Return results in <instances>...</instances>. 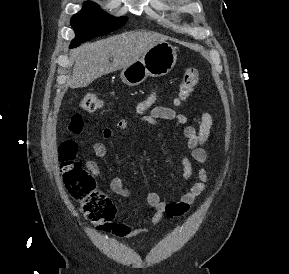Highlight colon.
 I'll return each mask as SVG.
<instances>
[{
    "mask_svg": "<svg viewBox=\"0 0 289 274\" xmlns=\"http://www.w3.org/2000/svg\"><path fill=\"white\" fill-rule=\"evenodd\" d=\"M199 81V72L195 67H187L179 84L177 101L189 98ZM84 111L94 113L103 107V100L97 93H87L80 102ZM83 129L80 116H74L70 131L78 134ZM77 145L73 140H65L59 146V160L63 180L69 193L81 207L85 217L97 225L100 230L111 229L114 206L110 198L97 186L93 175L76 160Z\"/></svg>",
    "mask_w": 289,
    "mask_h": 274,
    "instance_id": "5ec220e1",
    "label": "colon"
}]
</instances>
